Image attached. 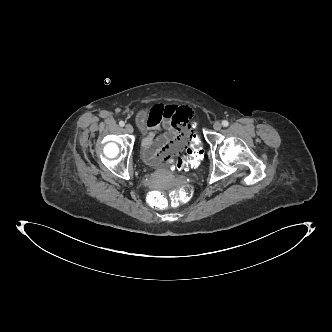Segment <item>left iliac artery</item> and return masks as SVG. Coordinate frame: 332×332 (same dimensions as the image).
I'll list each match as a JSON object with an SVG mask.
<instances>
[{
    "label": "left iliac artery",
    "mask_w": 332,
    "mask_h": 332,
    "mask_svg": "<svg viewBox=\"0 0 332 332\" xmlns=\"http://www.w3.org/2000/svg\"><path fill=\"white\" fill-rule=\"evenodd\" d=\"M222 125L224 127H227L229 125V122L227 120L222 121Z\"/></svg>",
    "instance_id": "obj_1"
}]
</instances>
